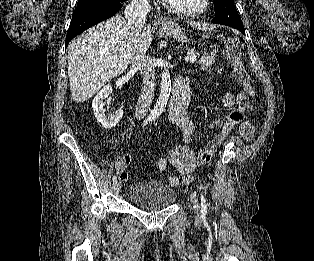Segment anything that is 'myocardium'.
<instances>
[{"label":"myocardium","mask_w":314,"mask_h":261,"mask_svg":"<svg viewBox=\"0 0 314 261\" xmlns=\"http://www.w3.org/2000/svg\"><path fill=\"white\" fill-rule=\"evenodd\" d=\"M164 6L170 12L183 17H196L205 13L209 7L211 0H203L201 7L194 10H185L171 4L168 0H163Z\"/></svg>","instance_id":"1"}]
</instances>
